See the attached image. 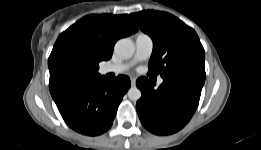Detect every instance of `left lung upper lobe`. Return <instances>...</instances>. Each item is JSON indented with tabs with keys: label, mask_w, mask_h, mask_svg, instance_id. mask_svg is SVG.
I'll list each match as a JSON object with an SVG mask.
<instances>
[{
	"label": "left lung upper lobe",
	"mask_w": 261,
	"mask_h": 150,
	"mask_svg": "<svg viewBox=\"0 0 261 150\" xmlns=\"http://www.w3.org/2000/svg\"><path fill=\"white\" fill-rule=\"evenodd\" d=\"M130 16L153 40L148 75L168 77L182 71L205 75V51L191 27L166 12L147 10Z\"/></svg>",
	"instance_id": "left-lung-upper-lobe-1"
}]
</instances>
